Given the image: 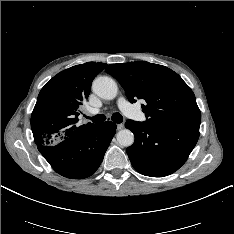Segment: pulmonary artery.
Masks as SVG:
<instances>
[{"mask_svg": "<svg viewBox=\"0 0 234 234\" xmlns=\"http://www.w3.org/2000/svg\"><path fill=\"white\" fill-rule=\"evenodd\" d=\"M118 106L127 116H131V117L135 116V111L133 110L131 104L125 98H120L118 100ZM98 112L99 110L96 108H91L89 110V114L91 115H95Z\"/></svg>", "mask_w": 234, "mask_h": 234, "instance_id": "1", "label": "pulmonary artery"}]
</instances>
